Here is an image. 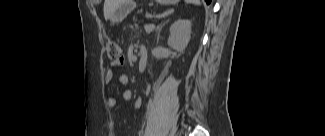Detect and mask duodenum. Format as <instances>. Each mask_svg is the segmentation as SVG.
Instances as JSON below:
<instances>
[{"label": "duodenum", "instance_id": "410a0bca", "mask_svg": "<svg viewBox=\"0 0 325 136\" xmlns=\"http://www.w3.org/2000/svg\"><path fill=\"white\" fill-rule=\"evenodd\" d=\"M148 53L149 50L147 47L142 46L139 50V61H138V69L139 71H144L148 64Z\"/></svg>", "mask_w": 325, "mask_h": 136}]
</instances>
